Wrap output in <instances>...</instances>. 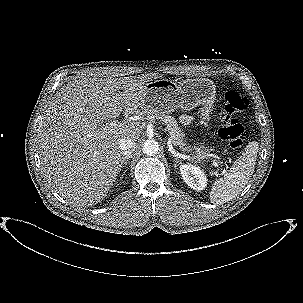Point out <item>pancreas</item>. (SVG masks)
Wrapping results in <instances>:
<instances>
[{
    "instance_id": "cf45deb5",
    "label": "pancreas",
    "mask_w": 303,
    "mask_h": 303,
    "mask_svg": "<svg viewBox=\"0 0 303 303\" xmlns=\"http://www.w3.org/2000/svg\"><path fill=\"white\" fill-rule=\"evenodd\" d=\"M158 118L161 119L167 125V129L171 136V141L173 145L179 147L184 152H190L192 148L186 147L187 144L186 141L184 140L185 135L182 132V130L178 127L175 118L168 115H160L158 116Z\"/></svg>"
}]
</instances>
